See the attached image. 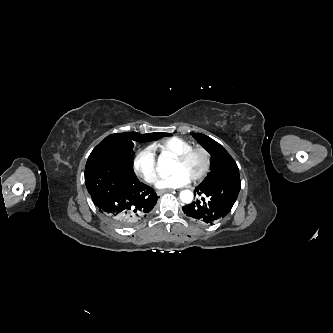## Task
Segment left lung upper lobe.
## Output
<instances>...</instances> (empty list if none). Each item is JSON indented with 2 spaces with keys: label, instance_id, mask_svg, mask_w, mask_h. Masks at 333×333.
<instances>
[{
  "label": "left lung upper lobe",
  "instance_id": "left-lung-upper-lobe-1",
  "mask_svg": "<svg viewBox=\"0 0 333 333\" xmlns=\"http://www.w3.org/2000/svg\"><path fill=\"white\" fill-rule=\"evenodd\" d=\"M191 134L212 156L211 171L200 185L208 186L222 179L239 177V169L236 162L222 145L204 134Z\"/></svg>",
  "mask_w": 333,
  "mask_h": 333
}]
</instances>
